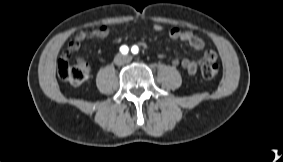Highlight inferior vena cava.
<instances>
[{
  "instance_id": "inferior-vena-cava-1",
  "label": "inferior vena cava",
  "mask_w": 283,
  "mask_h": 162,
  "mask_svg": "<svg viewBox=\"0 0 283 162\" xmlns=\"http://www.w3.org/2000/svg\"><path fill=\"white\" fill-rule=\"evenodd\" d=\"M127 61V57L126 56H124V55H117L116 57H115V64H117V65H122V64H124L125 62Z\"/></svg>"
}]
</instances>
